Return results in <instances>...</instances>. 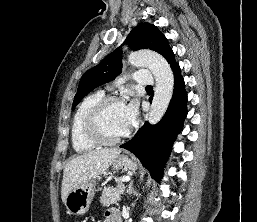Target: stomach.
<instances>
[{"mask_svg":"<svg viewBox=\"0 0 257 222\" xmlns=\"http://www.w3.org/2000/svg\"><path fill=\"white\" fill-rule=\"evenodd\" d=\"M113 169L135 171L137 169V163L130 159L128 156L122 155L118 156L113 161ZM100 179L101 174L80 184L68 193L65 206L70 214L84 215L88 211L93 199L96 183Z\"/></svg>","mask_w":257,"mask_h":222,"instance_id":"1","label":"stomach"}]
</instances>
